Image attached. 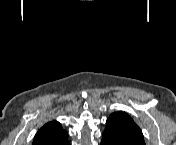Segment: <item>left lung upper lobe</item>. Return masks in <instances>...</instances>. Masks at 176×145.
<instances>
[{"mask_svg":"<svg viewBox=\"0 0 176 145\" xmlns=\"http://www.w3.org/2000/svg\"><path fill=\"white\" fill-rule=\"evenodd\" d=\"M103 135L117 145H145L141 129L124 112H114L110 115Z\"/></svg>","mask_w":176,"mask_h":145,"instance_id":"1","label":"left lung upper lobe"}]
</instances>
